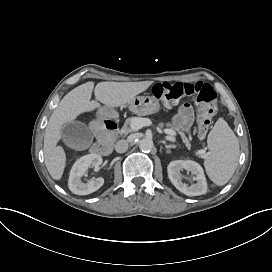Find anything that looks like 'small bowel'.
I'll return each mask as SVG.
<instances>
[{"instance_id":"c3829d8e","label":"small bowel","mask_w":272,"mask_h":272,"mask_svg":"<svg viewBox=\"0 0 272 272\" xmlns=\"http://www.w3.org/2000/svg\"><path fill=\"white\" fill-rule=\"evenodd\" d=\"M194 112L190 104H183L173 118V124L178 130L188 132L193 122Z\"/></svg>"}]
</instances>
